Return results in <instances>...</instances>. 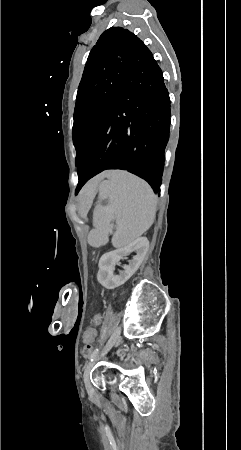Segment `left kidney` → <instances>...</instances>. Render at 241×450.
Wrapping results in <instances>:
<instances>
[{
  "label": "left kidney",
  "instance_id": "left-kidney-1",
  "mask_svg": "<svg viewBox=\"0 0 241 450\" xmlns=\"http://www.w3.org/2000/svg\"><path fill=\"white\" fill-rule=\"evenodd\" d=\"M148 248L149 242L147 238H137V240H134V242H131L125 248L103 254L99 260L97 274L99 284L107 288V290H114V288L122 286L138 270L148 252ZM131 252H136L137 256H133V260H130L129 266H123L124 270L120 272L119 276H114V266H116L119 260H123L124 256L131 254Z\"/></svg>",
  "mask_w": 241,
  "mask_h": 450
}]
</instances>
